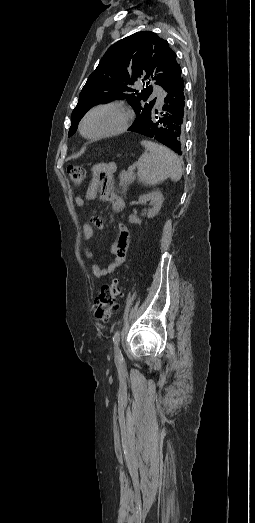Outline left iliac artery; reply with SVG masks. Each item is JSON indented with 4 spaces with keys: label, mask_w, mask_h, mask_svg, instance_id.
<instances>
[{
    "label": "left iliac artery",
    "mask_w": 255,
    "mask_h": 523,
    "mask_svg": "<svg viewBox=\"0 0 255 523\" xmlns=\"http://www.w3.org/2000/svg\"><path fill=\"white\" fill-rule=\"evenodd\" d=\"M119 341H120V331H116L114 336H113L114 350H115V353H116L118 359L120 361H122L123 360V356H122L121 350L119 348Z\"/></svg>",
    "instance_id": "1"
}]
</instances>
